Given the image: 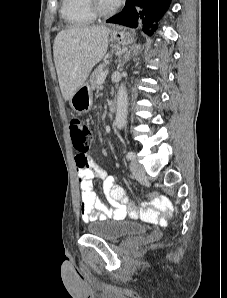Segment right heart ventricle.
Instances as JSON below:
<instances>
[{
  "instance_id": "1",
  "label": "right heart ventricle",
  "mask_w": 227,
  "mask_h": 298,
  "mask_svg": "<svg viewBox=\"0 0 227 298\" xmlns=\"http://www.w3.org/2000/svg\"><path fill=\"white\" fill-rule=\"evenodd\" d=\"M60 12L65 22L71 26H87L96 18L88 0H61Z\"/></svg>"
}]
</instances>
